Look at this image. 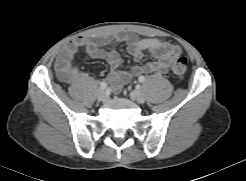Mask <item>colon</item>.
Wrapping results in <instances>:
<instances>
[{"label": "colon", "mask_w": 246, "mask_h": 181, "mask_svg": "<svg viewBox=\"0 0 246 181\" xmlns=\"http://www.w3.org/2000/svg\"><path fill=\"white\" fill-rule=\"evenodd\" d=\"M171 70L174 76L178 79H183L187 70L186 57L180 56L172 60Z\"/></svg>", "instance_id": "5ec220e1"}]
</instances>
